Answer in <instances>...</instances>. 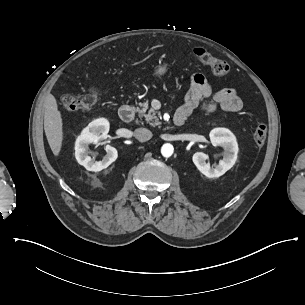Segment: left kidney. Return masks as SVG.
<instances>
[{
  "instance_id": "5707ae66",
  "label": "left kidney",
  "mask_w": 305,
  "mask_h": 305,
  "mask_svg": "<svg viewBox=\"0 0 305 305\" xmlns=\"http://www.w3.org/2000/svg\"><path fill=\"white\" fill-rule=\"evenodd\" d=\"M209 136L213 145L221 146L225 149L223 160L211 167L209 163H206L208 155L203 152L195 153L192 160L202 174L209 178H215L223 175L233 167L237 160L238 144L234 134L227 128H214Z\"/></svg>"
}]
</instances>
